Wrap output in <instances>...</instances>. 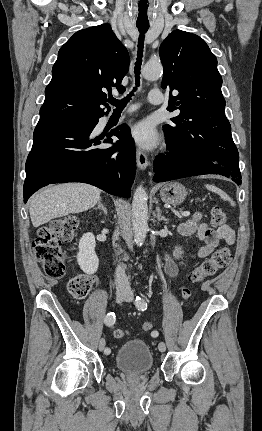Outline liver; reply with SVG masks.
I'll return each mask as SVG.
<instances>
[{
	"mask_svg": "<svg viewBox=\"0 0 262 431\" xmlns=\"http://www.w3.org/2000/svg\"><path fill=\"white\" fill-rule=\"evenodd\" d=\"M101 190L82 183H67L46 188L30 198L29 212L34 227L50 220L93 208Z\"/></svg>",
	"mask_w": 262,
	"mask_h": 431,
	"instance_id": "1",
	"label": "liver"
}]
</instances>
